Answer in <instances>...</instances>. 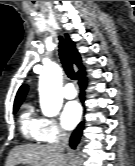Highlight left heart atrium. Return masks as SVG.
Listing matches in <instances>:
<instances>
[{"label": "left heart atrium", "instance_id": "1", "mask_svg": "<svg viewBox=\"0 0 135 166\" xmlns=\"http://www.w3.org/2000/svg\"><path fill=\"white\" fill-rule=\"evenodd\" d=\"M81 110L77 102H68L61 113V124L65 129H72L78 123Z\"/></svg>", "mask_w": 135, "mask_h": 166}]
</instances>
